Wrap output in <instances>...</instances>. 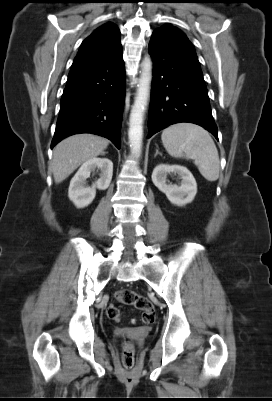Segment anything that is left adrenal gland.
I'll return each mask as SVG.
<instances>
[{
  "label": "left adrenal gland",
  "instance_id": "obj_1",
  "mask_svg": "<svg viewBox=\"0 0 272 401\" xmlns=\"http://www.w3.org/2000/svg\"><path fill=\"white\" fill-rule=\"evenodd\" d=\"M157 155L162 156V153H160L158 149H156V153H155L154 157H156Z\"/></svg>",
  "mask_w": 272,
  "mask_h": 401
}]
</instances>
